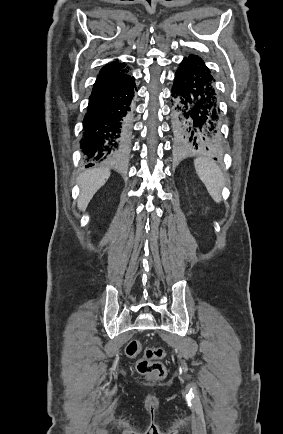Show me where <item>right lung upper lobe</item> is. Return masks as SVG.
Returning <instances> with one entry per match:
<instances>
[{"label": "right lung upper lobe", "mask_w": 283, "mask_h": 434, "mask_svg": "<svg viewBox=\"0 0 283 434\" xmlns=\"http://www.w3.org/2000/svg\"><path fill=\"white\" fill-rule=\"evenodd\" d=\"M129 78L130 76L127 75V70L125 69L124 64L119 61L112 62L102 67L98 78L93 85L92 92L118 86Z\"/></svg>", "instance_id": "obj_1"}]
</instances>
